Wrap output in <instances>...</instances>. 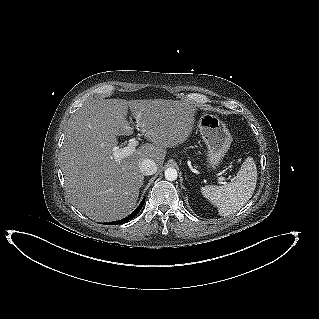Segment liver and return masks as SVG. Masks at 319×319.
<instances>
[{
  "label": "liver",
  "instance_id": "obj_1",
  "mask_svg": "<svg viewBox=\"0 0 319 319\" xmlns=\"http://www.w3.org/2000/svg\"><path fill=\"white\" fill-rule=\"evenodd\" d=\"M130 109L136 128L152 144L116 161L118 136L133 133L127 120ZM195 105L164 99L89 100L71 117L60 152V164L70 203L97 222L129 215L144 183L139 163L152 159L162 167L166 148L183 143L193 130ZM140 115L139 120H137Z\"/></svg>",
  "mask_w": 319,
  "mask_h": 319
}]
</instances>
